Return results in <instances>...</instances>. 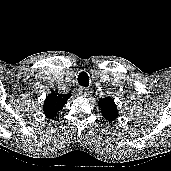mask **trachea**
Instances as JSON below:
<instances>
[{
    "mask_svg": "<svg viewBox=\"0 0 171 171\" xmlns=\"http://www.w3.org/2000/svg\"><path fill=\"white\" fill-rule=\"evenodd\" d=\"M78 83L82 87H88L89 86V76L86 72H81L78 75Z\"/></svg>",
    "mask_w": 171,
    "mask_h": 171,
    "instance_id": "3493384b",
    "label": "trachea"
}]
</instances>
